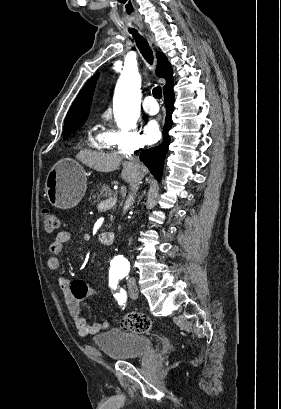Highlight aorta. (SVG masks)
<instances>
[{
    "mask_svg": "<svg viewBox=\"0 0 281 409\" xmlns=\"http://www.w3.org/2000/svg\"><path fill=\"white\" fill-rule=\"evenodd\" d=\"M140 78L135 70H126L118 83L113 110L118 127L131 129L139 114Z\"/></svg>",
    "mask_w": 281,
    "mask_h": 409,
    "instance_id": "762f6f07",
    "label": "aorta"
}]
</instances>
